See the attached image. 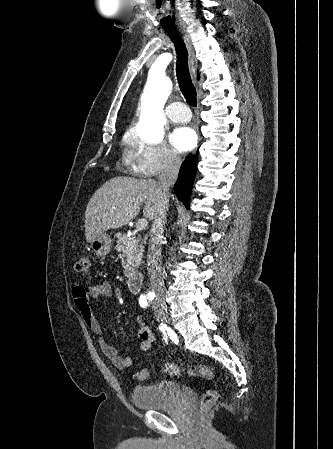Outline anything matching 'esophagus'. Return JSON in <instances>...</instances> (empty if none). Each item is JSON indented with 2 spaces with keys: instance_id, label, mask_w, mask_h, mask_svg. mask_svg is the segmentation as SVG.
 <instances>
[{
  "instance_id": "1",
  "label": "esophagus",
  "mask_w": 333,
  "mask_h": 449,
  "mask_svg": "<svg viewBox=\"0 0 333 449\" xmlns=\"http://www.w3.org/2000/svg\"><path fill=\"white\" fill-rule=\"evenodd\" d=\"M180 32L182 33L183 38H184L187 48H188L190 70H191L192 74L195 76L196 72H197V61L194 56V51H193V48H192V45H191V42L189 39V35L186 34L183 30H180Z\"/></svg>"
}]
</instances>
